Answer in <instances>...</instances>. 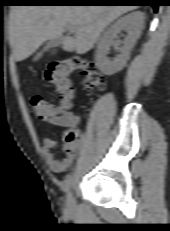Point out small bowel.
Returning <instances> with one entry per match:
<instances>
[{
	"label": "small bowel",
	"instance_id": "1",
	"mask_svg": "<svg viewBox=\"0 0 170 231\" xmlns=\"http://www.w3.org/2000/svg\"><path fill=\"white\" fill-rule=\"evenodd\" d=\"M48 123L53 126L70 128L77 126L80 123V118L68 110H62ZM56 145L57 142L55 139L51 137H45L43 140L42 153L49 169L55 173H61L64 172L73 162L75 154L81 147V144L77 143L74 146L66 147L65 155L61 160L56 159L52 153V149Z\"/></svg>",
	"mask_w": 170,
	"mask_h": 231
}]
</instances>
